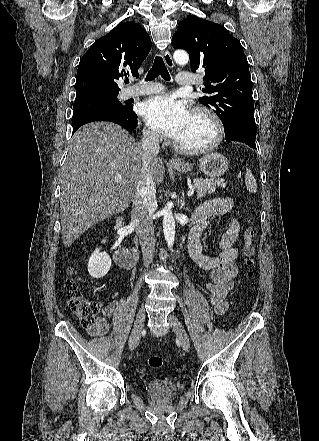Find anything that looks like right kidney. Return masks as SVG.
I'll return each mask as SVG.
<instances>
[{"mask_svg":"<svg viewBox=\"0 0 319 441\" xmlns=\"http://www.w3.org/2000/svg\"><path fill=\"white\" fill-rule=\"evenodd\" d=\"M103 243L106 241L103 240ZM112 261L106 252H101L96 248L88 261V272L93 278L99 279L104 277L110 270Z\"/></svg>","mask_w":319,"mask_h":441,"instance_id":"1","label":"right kidney"}]
</instances>
